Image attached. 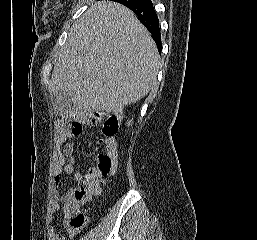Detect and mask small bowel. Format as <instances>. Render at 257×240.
<instances>
[{"instance_id":"small-bowel-1","label":"small bowel","mask_w":257,"mask_h":240,"mask_svg":"<svg viewBox=\"0 0 257 240\" xmlns=\"http://www.w3.org/2000/svg\"><path fill=\"white\" fill-rule=\"evenodd\" d=\"M80 132H74L70 127L59 128L56 134L55 140V154H54V168H53V180L56 187L60 184L63 175H72L77 182H81L84 175L80 172H75L76 161L73 157V144L71 140L80 135ZM107 152L116 160L117 158V144L113 137L105 141ZM71 189H68L63 194L59 195L52 203L50 209V219H53L54 215L59 210V203H66ZM66 234L69 237L74 236L77 231L66 226ZM48 240H66L62 230L57 229L54 225L48 227Z\"/></svg>"}]
</instances>
